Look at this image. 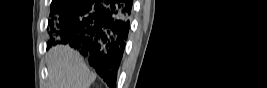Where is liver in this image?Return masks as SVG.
I'll return each mask as SVG.
<instances>
[{"label": "liver", "instance_id": "liver-1", "mask_svg": "<svg viewBox=\"0 0 267 88\" xmlns=\"http://www.w3.org/2000/svg\"><path fill=\"white\" fill-rule=\"evenodd\" d=\"M49 88H89L96 75L68 45L52 47L47 55Z\"/></svg>", "mask_w": 267, "mask_h": 88}]
</instances>
